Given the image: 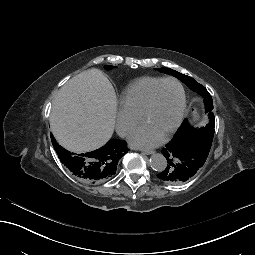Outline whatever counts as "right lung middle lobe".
<instances>
[{"instance_id": "dd1d6c3e", "label": "right lung middle lobe", "mask_w": 255, "mask_h": 255, "mask_svg": "<svg viewBox=\"0 0 255 255\" xmlns=\"http://www.w3.org/2000/svg\"><path fill=\"white\" fill-rule=\"evenodd\" d=\"M112 68H113V66H105V69H107V70H110Z\"/></svg>"}]
</instances>
